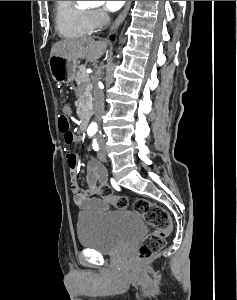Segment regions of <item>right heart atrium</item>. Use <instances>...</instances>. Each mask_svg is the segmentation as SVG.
Segmentation results:
<instances>
[{"label": "right heart atrium", "instance_id": "right-heart-atrium-1", "mask_svg": "<svg viewBox=\"0 0 237 300\" xmlns=\"http://www.w3.org/2000/svg\"><path fill=\"white\" fill-rule=\"evenodd\" d=\"M107 15L101 10H92L89 12V29L93 31L107 22Z\"/></svg>", "mask_w": 237, "mask_h": 300}]
</instances>
